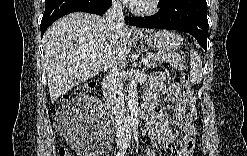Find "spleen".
I'll use <instances>...</instances> for the list:
<instances>
[{"mask_svg": "<svg viewBox=\"0 0 247 156\" xmlns=\"http://www.w3.org/2000/svg\"><path fill=\"white\" fill-rule=\"evenodd\" d=\"M190 65H191L190 80L192 83L198 84L202 80V73H203L202 62L199 54L192 49L190 51Z\"/></svg>", "mask_w": 247, "mask_h": 156, "instance_id": "obj_1", "label": "spleen"}]
</instances>
